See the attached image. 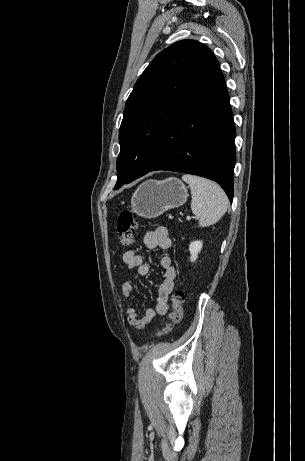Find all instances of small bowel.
Segmentation results:
<instances>
[{"label": "small bowel", "mask_w": 305, "mask_h": 461, "mask_svg": "<svg viewBox=\"0 0 305 461\" xmlns=\"http://www.w3.org/2000/svg\"><path fill=\"white\" fill-rule=\"evenodd\" d=\"M171 239L168 230L165 227H158L145 234L143 243L136 249L127 250L122 255V260L129 270H134L138 276H146L150 272V265L146 263L141 251L144 249H169ZM161 267L164 272L163 280L158 286V298L155 308H148L143 315H140L133 305L127 310V322L136 329H143L148 326L157 315H164L170 307L169 296L175 286L176 269L169 255H163L161 258ZM122 293L126 298L135 295L134 285L126 281L122 286Z\"/></svg>", "instance_id": "obj_1"}]
</instances>
